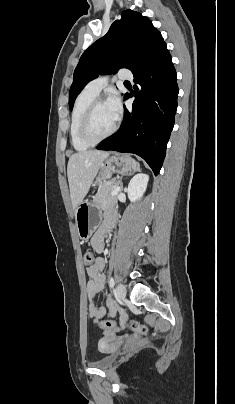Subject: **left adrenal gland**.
<instances>
[{
	"label": "left adrenal gland",
	"mask_w": 235,
	"mask_h": 404,
	"mask_svg": "<svg viewBox=\"0 0 235 404\" xmlns=\"http://www.w3.org/2000/svg\"><path fill=\"white\" fill-rule=\"evenodd\" d=\"M137 171H140L139 167L137 168ZM121 180H122V178H121ZM120 185H121V190H123V183L121 182Z\"/></svg>",
	"instance_id": "obj_1"
}]
</instances>
